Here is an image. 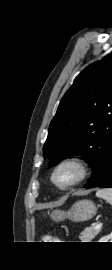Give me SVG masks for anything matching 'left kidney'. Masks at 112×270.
I'll return each instance as SVG.
<instances>
[{"mask_svg": "<svg viewBox=\"0 0 112 270\" xmlns=\"http://www.w3.org/2000/svg\"><path fill=\"white\" fill-rule=\"evenodd\" d=\"M103 239H112V232L110 233L109 236H107V237H105V238H103Z\"/></svg>", "mask_w": 112, "mask_h": 270, "instance_id": "5707ae66", "label": "left kidney"}]
</instances>
